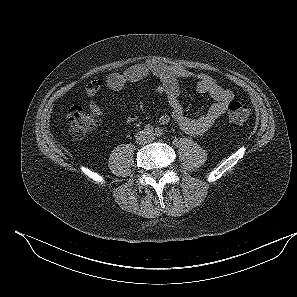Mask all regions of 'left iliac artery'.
<instances>
[{
	"label": "left iliac artery",
	"instance_id": "1",
	"mask_svg": "<svg viewBox=\"0 0 297 297\" xmlns=\"http://www.w3.org/2000/svg\"><path fill=\"white\" fill-rule=\"evenodd\" d=\"M154 135H156L157 137H160V136H162L163 135V130L161 129V128H156L155 129V134Z\"/></svg>",
	"mask_w": 297,
	"mask_h": 297
}]
</instances>
